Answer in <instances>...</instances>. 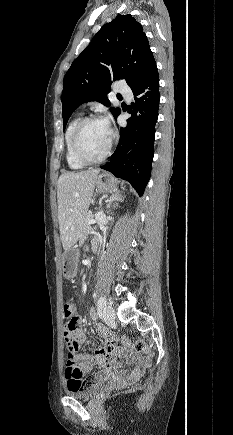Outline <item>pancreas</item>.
<instances>
[{
    "label": "pancreas",
    "instance_id": "pancreas-1",
    "mask_svg": "<svg viewBox=\"0 0 233 435\" xmlns=\"http://www.w3.org/2000/svg\"><path fill=\"white\" fill-rule=\"evenodd\" d=\"M94 217V215L92 213H88L86 214V216L83 219V224H82V229H81V239H85L88 234H90L94 229H96V227H91L90 225L87 224V221L92 219Z\"/></svg>",
    "mask_w": 233,
    "mask_h": 435
}]
</instances>
